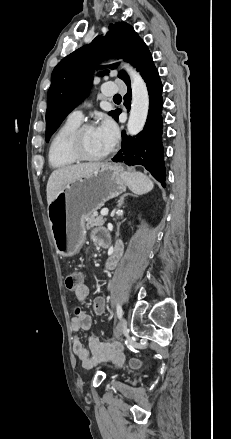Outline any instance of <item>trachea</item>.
Returning <instances> with one entry per match:
<instances>
[{
	"instance_id": "obj_1",
	"label": "trachea",
	"mask_w": 231,
	"mask_h": 439,
	"mask_svg": "<svg viewBox=\"0 0 231 439\" xmlns=\"http://www.w3.org/2000/svg\"><path fill=\"white\" fill-rule=\"evenodd\" d=\"M113 99L114 100L121 99V95L120 94H116V95H114Z\"/></svg>"
}]
</instances>
